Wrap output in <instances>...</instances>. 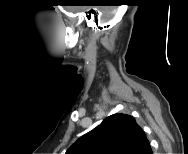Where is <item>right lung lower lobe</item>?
I'll return each mask as SVG.
<instances>
[{
    "mask_svg": "<svg viewBox=\"0 0 188 154\" xmlns=\"http://www.w3.org/2000/svg\"><path fill=\"white\" fill-rule=\"evenodd\" d=\"M148 154H152V150Z\"/></svg>",
    "mask_w": 188,
    "mask_h": 154,
    "instance_id": "98d812e1",
    "label": "right lung lower lobe"
}]
</instances>
